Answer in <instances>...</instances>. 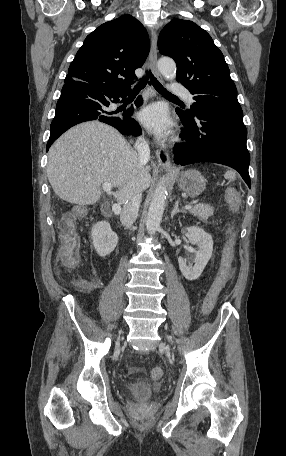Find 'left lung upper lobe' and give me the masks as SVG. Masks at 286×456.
Here are the masks:
<instances>
[{
    "label": "left lung upper lobe",
    "mask_w": 286,
    "mask_h": 456,
    "mask_svg": "<svg viewBox=\"0 0 286 456\" xmlns=\"http://www.w3.org/2000/svg\"><path fill=\"white\" fill-rule=\"evenodd\" d=\"M158 48L175 60L177 81L194 95L188 115L200 108H215L243 116L228 65L204 29L175 18L160 32Z\"/></svg>",
    "instance_id": "left-lung-upper-lobe-1"
}]
</instances>
